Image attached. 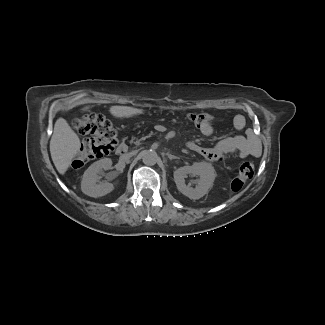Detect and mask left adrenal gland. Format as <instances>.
I'll return each mask as SVG.
<instances>
[{
	"label": "left adrenal gland",
	"mask_w": 325,
	"mask_h": 325,
	"mask_svg": "<svg viewBox=\"0 0 325 325\" xmlns=\"http://www.w3.org/2000/svg\"><path fill=\"white\" fill-rule=\"evenodd\" d=\"M167 156H168V158H169L170 160H172V159H179V157L174 156V155H172V154H170V153H167Z\"/></svg>",
	"instance_id": "a2214340"
}]
</instances>
